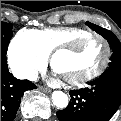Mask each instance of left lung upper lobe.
Returning <instances> with one entry per match:
<instances>
[{"instance_id":"left-lung-upper-lobe-1","label":"left lung upper lobe","mask_w":121,"mask_h":121,"mask_svg":"<svg viewBox=\"0 0 121 121\" xmlns=\"http://www.w3.org/2000/svg\"><path fill=\"white\" fill-rule=\"evenodd\" d=\"M87 26L95 30L97 33L102 35L107 41L109 42L113 55H112V62L109 65V68L106 73L108 74H115L121 76V43L117 39V37L109 30L92 24L90 22H86Z\"/></svg>"}]
</instances>
